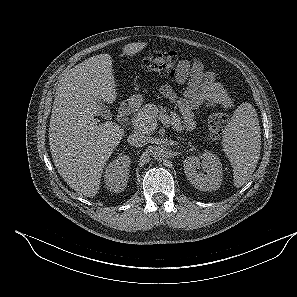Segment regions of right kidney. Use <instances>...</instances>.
<instances>
[{"mask_svg": "<svg viewBox=\"0 0 297 297\" xmlns=\"http://www.w3.org/2000/svg\"><path fill=\"white\" fill-rule=\"evenodd\" d=\"M130 163L129 156L123 155L107 165L104 181L110 191L120 193L125 189L129 178Z\"/></svg>", "mask_w": 297, "mask_h": 297, "instance_id": "1", "label": "right kidney"}]
</instances>
